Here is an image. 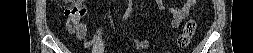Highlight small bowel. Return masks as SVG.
<instances>
[{"mask_svg": "<svg viewBox=\"0 0 253 53\" xmlns=\"http://www.w3.org/2000/svg\"><path fill=\"white\" fill-rule=\"evenodd\" d=\"M195 4V0H185L182 7L177 9L170 7L168 11L172 15L171 26L176 28L180 25L183 18L188 14L190 8ZM76 35L79 39L83 40L86 45L88 41L86 40L87 36V26L85 23H81L79 28L76 30Z\"/></svg>", "mask_w": 253, "mask_h": 53, "instance_id": "obj_1", "label": "small bowel"}]
</instances>
